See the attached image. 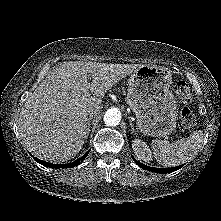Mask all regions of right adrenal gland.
<instances>
[{"label": "right adrenal gland", "instance_id": "obj_1", "mask_svg": "<svg viewBox=\"0 0 221 221\" xmlns=\"http://www.w3.org/2000/svg\"><path fill=\"white\" fill-rule=\"evenodd\" d=\"M91 120H92V117H89L88 122H87L86 136H85L86 139L88 138V135L90 133V122H91Z\"/></svg>", "mask_w": 221, "mask_h": 221}]
</instances>
